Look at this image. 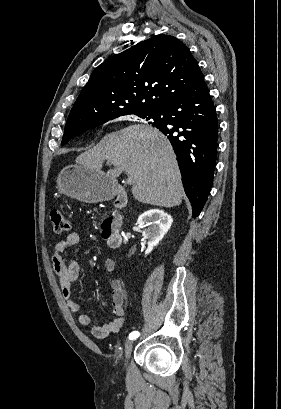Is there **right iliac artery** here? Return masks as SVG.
I'll list each match as a JSON object with an SVG mask.
<instances>
[{
    "label": "right iliac artery",
    "instance_id": "82829eb1",
    "mask_svg": "<svg viewBox=\"0 0 281 409\" xmlns=\"http://www.w3.org/2000/svg\"><path fill=\"white\" fill-rule=\"evenodd\" d=\"M139 336V332L138 331H133L132 333H130L129 335V339H136Z\"/></svg>",
    "mask_w": 281,
    "mask_h": 409
}]
</instances>
